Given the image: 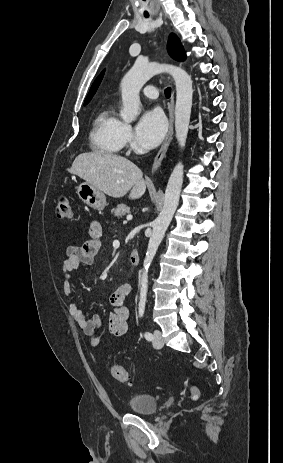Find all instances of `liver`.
<instances>
[{"label":"liver","mask_w":283,"mask_h":463,"mask_svg":"<svg viewBox=\"0 0 283 463\" xmlns=\"http://www.w3.org/2000/svg\"><path fill=\"white\" fill-rule=\"evenodd\" d=\"M67 171L113 198L123 197L130 191L129 199H138L146 191V181L141 169L120 155L104 152L82 153L75 158Z\"/></svg>","instance_id":"1"}]
</instances>
